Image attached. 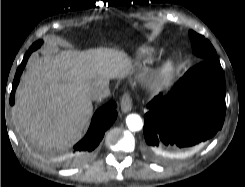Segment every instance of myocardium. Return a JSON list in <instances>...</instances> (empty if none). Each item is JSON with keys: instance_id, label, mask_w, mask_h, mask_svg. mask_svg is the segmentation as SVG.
I'll return each instance as SVG.
<instances>
[{"instance_id": "obj_1", "label": "myocardium", "mask_w": 245, "mask_h": 187, "mask_svg": "<svg viewBox=\"0 0 245 187\" xmlns=\"http://www.w3.org/2000/svg\"><path fill=\"white\" fill-rule=\"evenodd\" d=\"M171 70H172V64L168 63L167 65L164 66V68L162 70V76L164 78H168L170 73H171Z\"/></svg>"}]
</instances>
